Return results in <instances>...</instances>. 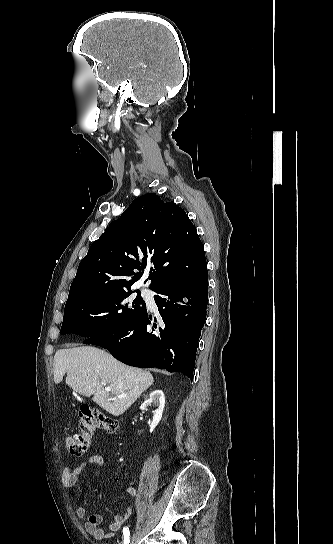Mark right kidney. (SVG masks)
<instances>
[{
	"instance_id": "1",
	"label": "right kidney",
	"mask_w": 333,
	"mask_h": 544,
	"mask_svg": "<svg viewBox=\"0 0 333 544\" xmlns=\"http://www.w3.org/2000/svg\"><path fill=\"white\" fill-rule=\"evenodd\" d=\"M153 404L154 407H156L155 411L153 412V419L152 423L150 425V432H152L155 427L158 425L162 418L164 406H165V396L162 390H155L153 391L149 398L144 401V403L141 405L140 409L144 410L147 409L149 406Z\"/></svg>"
}]
</instances>
